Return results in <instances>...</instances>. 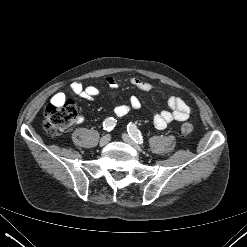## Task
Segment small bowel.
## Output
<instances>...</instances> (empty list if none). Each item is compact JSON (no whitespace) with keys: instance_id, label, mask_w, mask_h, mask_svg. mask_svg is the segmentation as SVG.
Instances as JSON below:
<instances>
[{"instance_id":"c3829d8e","label":"small bowel","mask_w":247,"mask_h":247,"mask_svg":"<svg viewBox=\"0 0 247 247\" xmlns=\"http://www.w3.org/2000/svg\"><path fill=\"white\" fill-rule=\"evenodd\" d=\"M106 82L112 89H116L118 87L117 82L112 77L107 78ZM129 82L138 90L145 92L150 91L154 88V86L150 82L142 80L138 77L130 78ZM70 87L74 94L86 100H94L95 97L99 95V89L96 86H84L79 81L73 82ZM64 100L65 94L62 92L56 93L52 97L53 103H61ZM140 107L141 102L139 98L136 96H132L127 103L116 106L113 112L116 117H124L129 112L138 110ZM168 108V110H162L154 114L153 124L157 129H165L167 125L172 121L182 122L187 120L190 116L189 105L179 97H170L168 99ZM78 120L80 121L81 118H79Z\"/></svg>"}]
</instances>
